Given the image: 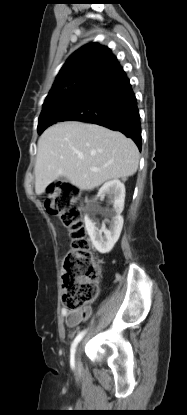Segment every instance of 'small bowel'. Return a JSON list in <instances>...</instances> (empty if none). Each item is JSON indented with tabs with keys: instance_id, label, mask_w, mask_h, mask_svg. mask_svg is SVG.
<instances>
[{
	"instance_id": "obj_1",
	"label": "small bowel",
	"mask_w": 187,
	"mask_h": 415,
	"mask_svg": "<svg viewBox=\"0 0 187 415\" xmlns=\"http://www.w3.org/2000/svg\"><path fill=\"white\" fill-rule=\"evenodd\" d=\"M91 314V308L89 306H84L80 310L70 311L67 309H62V315L66 319V324L69 327H75L81 322L87 320Z\"/></svg>"
}]
</instances>
